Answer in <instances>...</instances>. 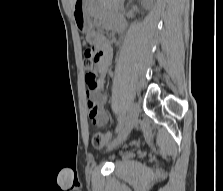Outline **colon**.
<instances>
[{
	"label": "colon",
	"mask_w": 223,
	"mask_h": 191,
	"mask_svg": "<svg viewBox=\"0 0 223 191\" xmlns=\"http://www.w3.org/2000/svg\"><path fill=\"white\" fill-rule=\"evenodd\" d=\"M99 60V54L95 48L88 43L85 49V57L83 60V67L86 72V82L90 87L97 86V72L96 66ZM110 141L109 133L96 132L92 136V145L97 149L104 148Z\"/></svg>",
	"instance_id": "1"
}]
</instances>
